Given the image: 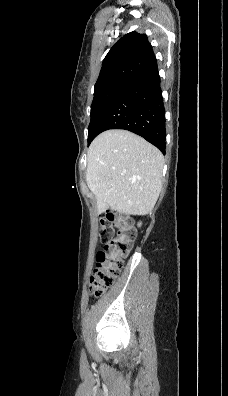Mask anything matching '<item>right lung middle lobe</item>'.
I'll return each instance as SVG.
<instances>
[{"instance_id": "dd1d6c3e", "label": "right lung middle lobe", "mask_w": 228, "mask_h": 396, "mask_svg": "<svg viewBox=\"0 0 228 396\" xmlns=\"http://www.w3.org/2000/svg\"><path fill=\"white\" fill-rule=\"evenodd\" d=\"M127 85L125 83H110L95 88L91 105V120L88 127V142L95 136V125L101 115Z\"/></svg>"}]
</instances>
